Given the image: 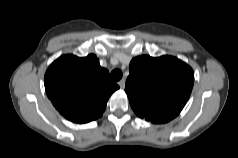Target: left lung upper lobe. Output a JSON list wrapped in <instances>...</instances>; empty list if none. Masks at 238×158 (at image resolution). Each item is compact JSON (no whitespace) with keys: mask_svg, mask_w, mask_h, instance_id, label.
I'll return each mask as SVG.
<instances>
[{"mask_svg":"<svg viewBox=\"0 0 238 158\" xmlns=\"http://www.w3.org/2000/svg\"><path fill=\"white\" fill-rule=\"evenodd\" d=\"M193 83L192 68L178 58L143 55L130 63L125 92L140 118L152 123H166L181 112Z\"/></svg>","mask_w":238,"mask_h":158,"instance_id":"1","label":"left lung upper lobe"}]
</instances>
